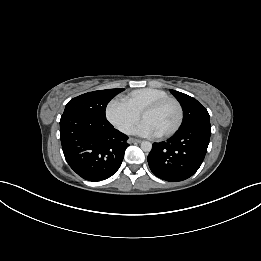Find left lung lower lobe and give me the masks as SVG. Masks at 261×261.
I'll return each instance as SVG.
<instances>
[{"mask_svg":"<svg viewBox=\"0 0 261 261\" xmlns=\"http://www.w3.org/2000/svg\"><path fill=\"white\" fill-rule=\"evenodd\" d=\"M210 135V122H200L181 127L167 141L153 143L148 155L151 171L171 182L191 177L204 160Z\"/></svg>","mask_w":261,"mask_h":261,"instance_id":"obj_1","label":"left lung lower lobe"}]
</instances>
